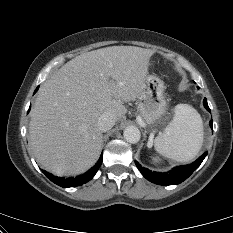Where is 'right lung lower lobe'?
<instances>
[{"instance_id": "right-lung-lower-lobe-1", "label": "right lung lower lobe", "mask_w": 233, "mask_h": 233, "mask_svg": "<svg viewBox=\"0 0 233 233\" xmlns=\"http://www.w3.org/2000/svg\"><path fill=\"white\" fill-rule=\"evenodd\" d=\"M38 90H35V92ZM102 164V156L100 157L99 161L97 162V164L90 169V171L86 172L85 174H82L76 178H61V177H57L54 176L44 170H42V172L55 184L61 186V187H74V186H80L82 184L87 183L88 181H90L94 175L96 174V172L98 171L100 165Z\"/></svg>"}]
</instances>
